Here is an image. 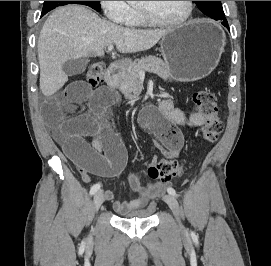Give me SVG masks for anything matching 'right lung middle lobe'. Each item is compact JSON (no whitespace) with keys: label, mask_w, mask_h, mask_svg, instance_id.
I'll list each match as a JSON object with an SVG mask.
<instances>
[{"label":"right lung middle lobe","mask_w":271,"mask_h":266,"mask_svg":"<svg viewBox=\"0 0 271 266\" xmlns=\"http://www.w3.org/2000/svg\"><path fill=\"white\" fill-rule=\"evenodd\" d=\"M67 4H82L87 5L96 11L100 10V1H44L42 15L46 14L48 11L62 5Z\"/></svg>","instance_id":"1"}]
</instances>
